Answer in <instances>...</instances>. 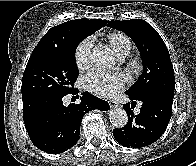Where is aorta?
<instances>
[{
    "label": "aorta",
    "mask_w": 196,
    "mask_h": 166,
    "mask_svg": "<svg viewBox=\"0 0 196 166\" xmlns=\"http://www.w3.org/2000/svg\"><path fill=\"white\" fill-rule=\"evenodd\" d=\"M91 61L99 68H110L115 64V56L109 48L97 47L92 51ZM109 119L115 128H123L128 122L127 113L121 107L111 109Z\"/></svg>",
    "instance_id": "1"
}]
</instances>
